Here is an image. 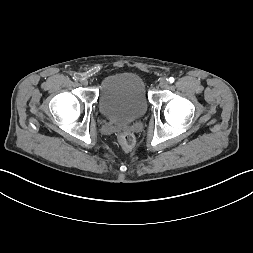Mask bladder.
Returning a JSON list of instances; mask_svg holds the SVG:
<instances>
[{
	"label": "bladder",
	"mask_w": 253,
	"mask_h": 253,
	"mask_svg": "<svg viewBox=\"0 0 253 253\" xmlns=\"http://www.w3.org/2000/svg\"><path fill=\"white\" fill-rule=\"evenodd\" d=\"M143 79L134 73H118L107 77L98 94L101 115L116 123H129L142 117L148 109Z\"/></svg>",
	"instance_id": "obj_1"
}]
</instances>
